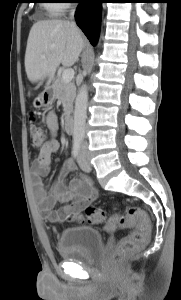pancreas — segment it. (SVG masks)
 Segmentation results:
<instances>
[{"mask_svg":"<svg viewBox=\"0 0 181 300\" xmlns=\"http://www.w3.org/2000/svg\"><path fill=\"white\" fill-rule=\"evenodd\" d=\"M53 89L55 98L62 102L64 115H69L72 112L73 102L76 96L74 83H64L60 77H57L54 81Z\"/></svg>","mask_w":181,"mask_h":300,"instance_id":"1","label":"pancreas"}]
</instances>
